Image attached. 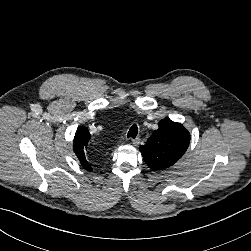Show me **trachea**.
I'll list each match as a JSON object with an SVG mask.
<instances>
[{
    "instance_id": "1",
    "label": "trachea",
    "mask_w": 251,
    "mask_h": 251,
    "mask_svg": "<svg viewBox=\"0 0 251 251\" xmlns=\"http://www.w3.org/2000/svg\"><path fill=\"white\" fill-rule=\"evenodd\" d=\"M138 134V127L136 124L132 125L131 128L129 129L128 138H135Z\"/></svg>"
}]
</instances>
